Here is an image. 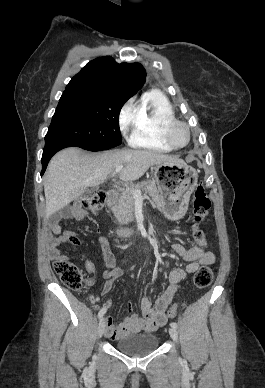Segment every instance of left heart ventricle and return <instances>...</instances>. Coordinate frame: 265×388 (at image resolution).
I'll return each instance as SVG.
<instances>
[{"label": "left heart ventricle", "mask_w": 265, "mask_h": 388, "mask_svg": "<svg viewBox=\"0 0 265 388\" xmlns=\"http://www.w3.org/2000/svg\"><path fill=\"white\" fill-rule=\"evenodd\" d=\"M174 140L177 144H183L186 139L185 132L182 128L176 127L173 132Z\"/></svg>", "instance_id": "left-heart-ventricle-1"}]
</instances>
